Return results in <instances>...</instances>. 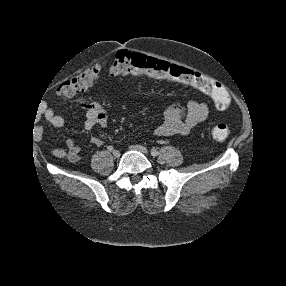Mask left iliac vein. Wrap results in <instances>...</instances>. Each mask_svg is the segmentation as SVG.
I'll return each instance as SVG.
<instances>
[{
  "label": "left iliac vein",
  "mask_w": 286,
  "mask_h": 286,
  "mask_svg": "<svg viewBox=\"0 0 286 286\" xmlns=\"http://www.w3.org/2000/svg\"><path fill=\"white\" fill-rule=\"evenodd\" d=\"M130 149L135 150V151H139L145 155L149 154L148 149L142 145H132V146H130Z\"/></svg>",
  "instance_id": "4c4485c4"
}]
</instances>
